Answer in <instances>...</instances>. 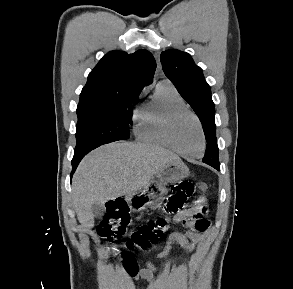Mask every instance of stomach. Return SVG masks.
Listing matches in <instances>:
<instances>
[{
  "mask_svg": "<svg viewBox=\"0 0 293 289\" xmlns=\"http://www.w3.org/2000/svg\"><path fill=\"white\" fill-rule=\"evenodd\" d=\"M189 173V168L182 161L169 162L156 174V180H151L138 193L127 197L131 209L140 212L161 207L167 194L166 185L188 177Z\"/></svg>",
  "mask_w": 293,
  "mask_h": 289,
  "instance_id": "stomach-1",
  "label": "stomach"
}]
</instances>
